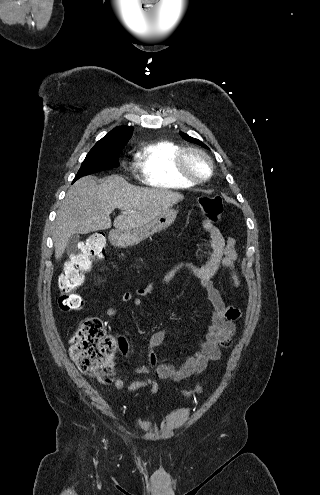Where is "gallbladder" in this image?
Returning a JSON list of instances; mask_svg holds the SVG:
<instances>
[{
    "label": "gallbladder",
    "instance_id": "gallbladder-1",
    "mask_svg": "<svg viewBox=\"0 0 320 495\" xmlns=\"http://www.w3.org/2000/svg\"><path fill=\"white\" fill-rule=\"evenodd\" d=\"M80 236L78 234H73L70 236L67 244V253L71 254L75 252Z\"/></svg>",
    "mask_w": 320,
    "mask_h": 495
}]
</instances>
